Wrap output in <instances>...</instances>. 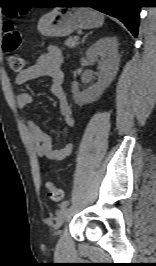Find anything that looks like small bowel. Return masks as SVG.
Here are the masks:
<instances>
[{"mask_svg": "<svg viewBox=\"0 0 156 266\" xmlns=\"http://www.w3.org/2000/svg\"><path fill=\"white\" fill-rule=\"evenodd\" d=\"M62 64L63 55L61 50L55 46H51L46 53L39 56L33 65L20 72L16 76L15 82L17 85H24L37 78L48 77L50 79L51 93L60 103V114L66 126L72 127L74 124V117L72 109L67 102V93L63 87L64 76ZM32 101L33 97L27 91H20L16 96V102L20 108H24L32 103ZM27 125L31 140L35 146V153L39 158L60 161L72 153V143L69 142L61 148H55L53 137L43 131L36 121H28Z\"/></svg>", "mask_w": 156, "mask_h": 266, "instance_id": "c3829d8e", "label": "small bowel"}]
</instances>
